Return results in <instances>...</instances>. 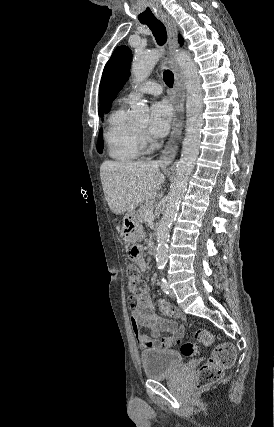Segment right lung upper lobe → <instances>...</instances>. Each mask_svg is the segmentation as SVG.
<instances>
[{
    "mask_svg": "<svg viewBox=\"0 0 274 427\" xmlns=\"http://www.w3.org/2000/svg\"><path fill=\"white\" fill-rule=\"evenodd\" d=\"M179 43L181 44V45H183V39H182V37L181 36H179ZM99 114L100 115H102L103 113H102V111H101V108H99Z\"/></svg>",
    "mask_w": 274,
    "mask_h": 427,
    "instance_id": "1",
    "label": "right lung upper lobe"
}]
</instances>
